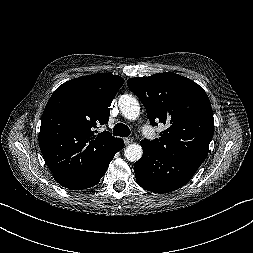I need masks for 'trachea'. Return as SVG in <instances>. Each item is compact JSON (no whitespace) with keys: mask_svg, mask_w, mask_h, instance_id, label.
Returning <instances> with one entry per match:
<instances>
[{"mask_svg":"<svg viewBox=\"0 0 253 253\" xmlns=\"http://www.w3.org/2000/svg\"><path fill=\"white\" fill-rule=\"evenodd\" d=\"M113 135L120 137H128L130 135V129L123 123H117L113 128Z\"/></svg>","mask_w":253,"mask_h":253,"instance_id":"obj_1","label":"trachea"}]
</instances>
